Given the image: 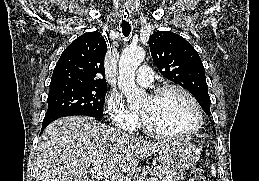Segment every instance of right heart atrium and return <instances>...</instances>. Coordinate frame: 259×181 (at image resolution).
I'll return each instance as SVG.
<instances>
[{
    "label": "right heart atrium",
    "mask_w": 259,
    "mask_h": 181,
    "mask_svg": "<svg viewBox=\"0 0 259 181\" xmlns=\"http://www.w3.org/2000/svg\"><path fill=\"white\" fill-rule=\"evenodd\" d=\"M106 111L112 124L121 130L132 132L138 125V115L131 112L116 94H110L106 100Z\"/></svg>",
    "instance_id": "1"
}]
</instances>
